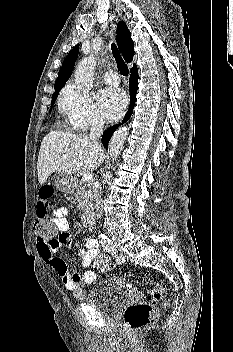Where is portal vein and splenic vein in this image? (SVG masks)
I'll return each mask as SVG.
<instances>
[{
    "label": "portal vein and splenic vein",
    "instance_id": "1",
    "mask_svg": "<svg viewBox=\"0 0 233 352\" xmlns=\"http://www.w3.org/2000/svg\"><path fill=\"white\" fill-rule=\"evenodd\" d=\"M83 180L87 181V182H90L92 180V174L91 173H85L83 175Z\"/></svg>",
    "mask_w": 233,
    "mask_h": 352
}]
</instances>
